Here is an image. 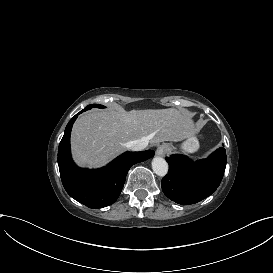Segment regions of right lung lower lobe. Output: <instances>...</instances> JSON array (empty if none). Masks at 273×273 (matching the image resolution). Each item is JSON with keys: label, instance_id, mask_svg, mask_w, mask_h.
<instances>
[{"label": "right lung lower lobe", "instance_id": "right-lung-lower-lobe-1", "mask_svg": "<svg viewBox=\"0 0 273 273\" xmlns=\"http://www.w3.org/2000/svg\"><path fill=\"white\" fill-rule=\"evenodd\" d=\"M77 113L67 124L58 148L61 180L67 193L89 208H103L113 204L124 186L126 175L134 164L154 156V151L126 152L106 167L88 170L77 167L70 154V133Z\"/></svg>", "mask_w": 273, "mask_h": 273}]
</instances>
